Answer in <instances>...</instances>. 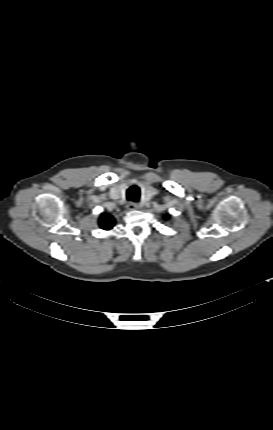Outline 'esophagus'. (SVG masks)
I'll use <instances>...</instances> for the list:
<instances>
[{"label":"esophagus","mask_w":273,"mask_h":430,"mask_svg":"<svg viewBox=\"0 0 273 430\" xmlns=\"http://www.w3.org/2000/svg\"><path fill=\"white\" fill-rule=\"evenodd\" d=\"M127 208H128V210L133 211V210L138 209L139 205H138V203L131 202L128 204Z\"/></svg>","instance_id":"34e87169"}]
</instances>
